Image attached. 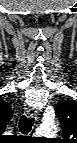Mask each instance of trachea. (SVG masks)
<instances>
[{
	"label": "trachea",
	"instance_id": "obj_1",
	"mask_svg": "<svg viewBox=\"0 0 77 143\" xmlns=\"http://www.w3.org/2000/svg\"><path fill=\"white\" fill-rule=\"evenodd\" d=\"M33 124H34V118L32 117L29 118L23 115L20 118V122H19L20 132L23 134H28L31 131Z\"/></svg>",
	"mask_w": 77,
	"mask_h": 143
}]
</instances>
